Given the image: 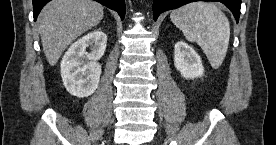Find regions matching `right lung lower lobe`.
Returning <instances> with one entry per match:
<instances>
[{
    "instance_id": "right-lung-lower-lobe-1",
    "label": "right lung lower lobe",
    "mask_w": 276,
    "mask_h": 145,
    "mask_svg": "<svg viewBox=\"0 0 276 145\" xmlns=\"http://www.w3.org/2000/svg\"><path fill=\"white\" fill-rule=\"evenodd\" d=\"M50 0H33V16L34 20L37 19L38 14L40 13L43 6L48 3ZM106 7L115 10L120 15L121 19H124L125 16V0H95Z\"/></svg>"
}]
</instances>
